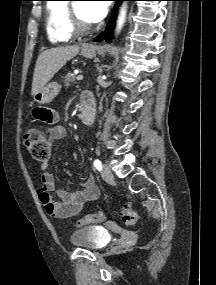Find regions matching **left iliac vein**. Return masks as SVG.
<instances>
[{
    "label": "left iliac vein",
    "mask_w": 216,
    "mask_h": 285,
    "mask_svg": "<svg viewBox=\"0 0 216 285\" xmlns=\"http://www.w3.org/2000/svg\"><path fill=\"white\" fill-rule=\"evenodd\" d=\"M101 175H102V178L106 181V182H112L113 179H114V176H113V173L111 171V169L109 168L108 165L104 164L102 166V169H101Z\"/></svg>",
    "instance_id": "left-iliac-vein-1"
}]
</instances>
